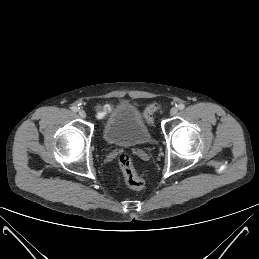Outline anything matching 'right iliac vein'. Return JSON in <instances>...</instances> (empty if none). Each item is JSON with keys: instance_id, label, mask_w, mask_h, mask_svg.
<instances>
[{"instance_id": "1", "label": "right iliac vein", "mask_w": 259, "mask_h": 259, "mask_svg": "<svg viewBox=\"0 0 259 259\" xmlns=\"http://www.w3.org/2000/svg\"><path fill=\"white\" fill-rule=\"evenodd\" d=\"M78 114L82 119L86 118V112L84 110H79Z\"/></svg>"}]
</instances>
